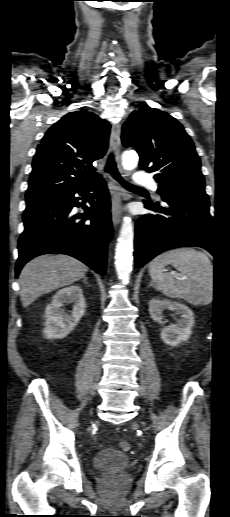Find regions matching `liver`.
<instances>
[{
  "instance_id": "obj_1",
  "label": "liver",
  "mask_w": 230,
  "mask_h": 517,
  "mask_svg": "<svg viewBox=\"0 0 230 517\" xmlns=\"http://www.w3.org/2000/svg\"><path fill=\"white\" fill-rule=\"evenodd\" d=\"M87 271L88 267L84 263L68 255H42L32 259L23 267L19 276L23 307H28L45 293L84 278Z\"/></svg>"
}]
</instances>
